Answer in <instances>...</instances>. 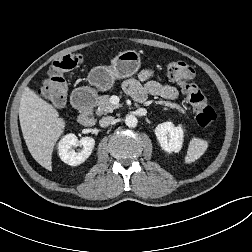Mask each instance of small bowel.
Segmentation results:
<instances>
[{
    "label": "small bowel",
    "mask_w": 252,
    "mask_h": 252,
    "mask_svg": "<svg viewBox=\"0 0 252 252\" xmlns=\"http://www.w3.org/2000/svg\"><path fill=\"white\" fill-rule=\"evenodd\" d=\"M124 89L139 102L144 101L147 95L175 99L179 94L174 86L157 81L152 70H142L136 77L126 80Z\"/></svg>",
    "instance_id": "small-bowel-1"
}]
</instances>
